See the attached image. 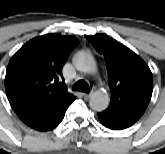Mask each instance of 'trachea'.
<instances>
[{
	"label": "trachea",
	"mask_w": 165,
	"mask_h": 154,
	"mask_svg": "<svg viewBox=\"0 0 165 154\" xmlns=\"http://www.w3.org/2000/svg\"><path fill=\"white\" fill-rule=\"evenodd\" d=\"M72 89L75 91H81L86 93L90 91V87L85 80H79L78 82H76Z\"/></svg>",
	"instance_id": "obj_1"
}]
</instances>
